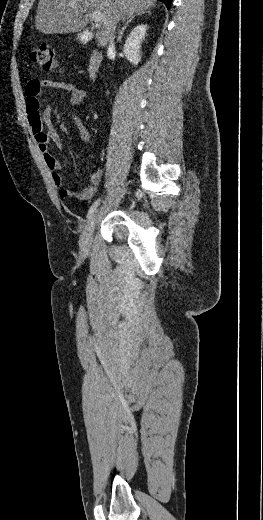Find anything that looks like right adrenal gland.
Listing matches in <instances>:
<instances>
[{"instance_id":"right-adrenal-gland-1","label":"right adrenal gland","mask_w":263,"mask_h":520,"mask_svg":"<svg viewBox=\"0 0 263 520\" xmlns=\"http://www.w3.org/2000/svg\"><path fill=\"white\" fill-rule=\"evenodd\" d=\"M145 13H147L148 15L151 14L150 11H147V12H145ZM145 13H138V14H136V15H133V16H132V17H131V18H130L126 23H125L124 27H123V28L121 29V31L119 32V37H118L119 41L122 39L123 33H124V31L126 30L128 24H129V23H130V22H131L135 17L142 16V15L145 14Z\"/></svg>"}]
</instances>
